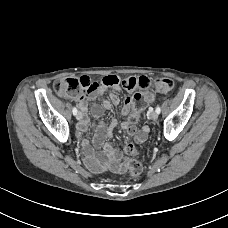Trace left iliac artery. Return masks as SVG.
Here are the masks:
<instances>
[{
	"label": "left iliac artery",
	"instance_id": "1",
	"mask_svg": "<svg viewBox=\"0 0 228 228\" xmlns=\"http://www.w3.org/2000/svg\"><path fill=\"white\" fill-rule=\"evenodd\" d=\"M156 112H157L158 114H160V112H161L160 106H157V107H156Z\"/></svg>",
	"mask_w": 228,
	"mask_h": 228
}]
</instances>
